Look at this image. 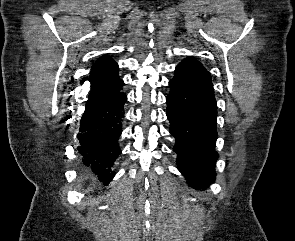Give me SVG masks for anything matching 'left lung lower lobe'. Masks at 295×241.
I'll return each instance as SVG.
<instances>
[{"instance_id": "obj_1", "label": "left lung lower lobe", "mask_w": 295, "mask_h": 241, "mask_svg": "<svg viewBox=\"0 0 295 241\" xmlns=\"http://www.w3.org/2000/svg\"><path fill=\"white\" fill-rule=\"evenodd\" d=\"M166 97L170 133L175 138L179 171L194 188L215 180L217 105L215 97L199 91L175 74Z\"/></svg>"}]
</instances>
